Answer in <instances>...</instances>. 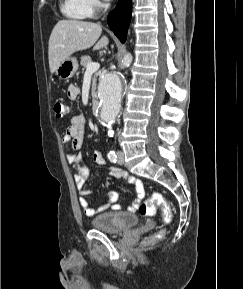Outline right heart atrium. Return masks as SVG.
<instances>
[{"label": "right heart atrium", "mask_w": 243, "mask_h": 289, "mask_svg": "<svg viewBox=\"0 0 243 289\" xmlns=\"http://www.w3.org/2000/svg\"><path fill=\"white\" fill-rule=\"evenodd\" d=\"M91 14L96 13L101 8L100 0H84Z\"/></svg>", "instance_id": "d8ad5b80"}]
</instances>
